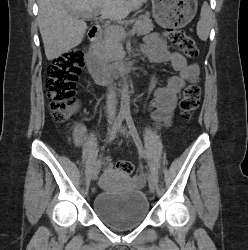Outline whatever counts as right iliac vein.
Instances as JSON below:
<instances>
[{"instance_id":"1","label":"right iliac vein","mask_w":248,"mask_h":250,"mask_svg":"<svg viewBox=\"0 0 248 250\" xmlns=\"http://www.w3.org/2000/svg\"><path fill=\"white\" fill-rule=\"evenodd\" d=\"M109 130L111 129V126L113 125V119L108 120ZM101 169V163H96L93 173H92V180H96L98 178L99 172Z\"/></svg>"}]
</instances>
